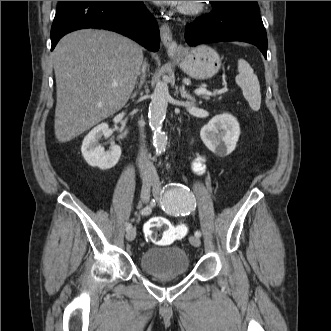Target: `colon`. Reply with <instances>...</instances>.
Returning <instances> with one entry per match:
<instances>
[{
    "label": "colon",
    "mask_w": 331,
    "mask_h": 331,
    "mask_svg": "<svg viewBox=\"0 0 331 331\" xmlns=\"http://www.w3.org/2000/svg\"><path fill=\"white\" fill-rule=\"evenodd\" d=\"M186 234L184 225H172L163 217L152 218L145 225L146 238L156 245H168Z\"/></svg>",
    "instance_id": "obj_1"
}]
</instances>
